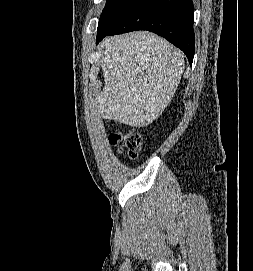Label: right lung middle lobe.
Returning a JSON list of instances; mask_svg holds the SVG:
<instances>
[{
  "mask_svg": "<svg viewBox=\"0 0 253 271\" xmlns=\"http://www.w3.org/2000/svg\"><path fill=\"white\" fill-rule=\"evenodd\" d=\"M134 0H107L98 23V32L111 29Z\"/></svg>",
  "mask_w": 253,
  "mask_h": 271,
  "instance_id": "dd1d6c3e",
  "label": "right lung middle lobe"
}]
</instances>
